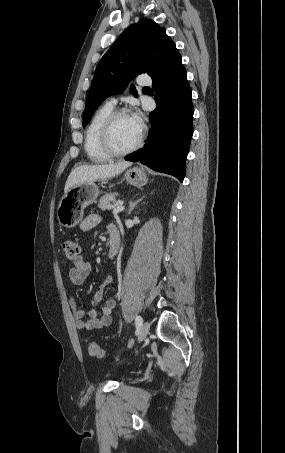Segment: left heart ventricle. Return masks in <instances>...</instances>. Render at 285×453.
Returning a JSON list of instances; mask_svg holds the SVG:
<instances>
[{"mask_svg": "<svg viewBox=\"0 0 285 453\" xmlns=\"http://www.w3.org/2000/svg\"><path fill=\"white\" fill-rule=\"evenodd\" d=\"M140 132L141 127L136 124L132 116H121L113 127V143L120 150L129 148L136 143Z\"/></svg>", "mask_w": 285, "mask_h": 453, "instance_id": "left-heart-ventricle-1", "label": "left heart ventricle"}]
</instances>
